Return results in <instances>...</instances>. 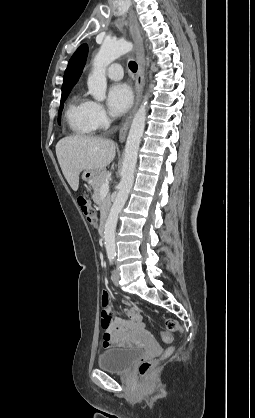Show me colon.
<instances>
[{
	"label": "colon",
	"instance_id": "colon-1",
	"mask_svg": "<svg viewBox=\"0 0 255 418\" xmlns=\"http://www.w3.org/2000/svg\"><path fill=\"white\" fill-rule=\"evenodd\" d=\"M77 204L80 208V210L82 211V213L84 214V216L86 217L87 221L90 224H93L95 222V212L93 210V208L91 207L88 199L83 196L80 195L77 197ZM166 325V332L163 333V339L165 342H171L173 337H172V333L174 332H182L181 327L179 326L178 322L174 319H167L165 322ZM174 351V347L171 346L168 349H166V351L161 355L160 358H166L168 356H170ZM158 359H144L140 362L139 366H138V373L140 376H146L150 373V371L154 368V366L156 365Z\"/></svg>",
	"mask_w": 255,
	"mask_h": 418
}]
</instances>
